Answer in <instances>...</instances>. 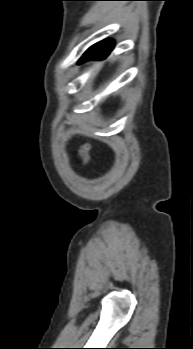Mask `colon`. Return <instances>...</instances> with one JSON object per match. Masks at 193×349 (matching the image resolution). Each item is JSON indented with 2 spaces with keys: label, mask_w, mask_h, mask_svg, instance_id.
Masks as SVG:
<instances>
[{
  "label": "colon",
  "mask_w": 193,
  "mask_h": 349,
  "mask_svg": "<svg viewBox=\"0 0 193 349\" xmlns=\"http://www.w3.org/2000/svg\"><path fill=\"white\" fill-rule=\"evenodd\" d=\"M91 144L90 142H85L82 144L79 151V159L82 164H87L90 160Z\"/></svg>",
  "instance_id": "colon-1"
}]
</instances>
